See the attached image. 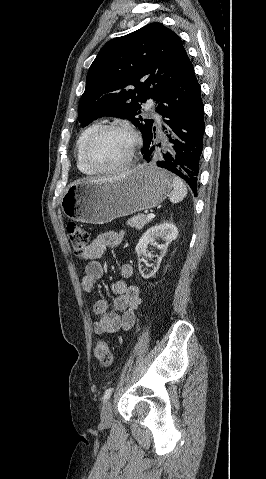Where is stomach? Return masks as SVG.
I'll use <instances>...</instances> for the list:
<instances>
[{"instance_id": "stomach-1", "label": "stomach", "mask_w": 266, "mask_h": 479, "mask_svg": "<svg viewBox=\"0 0 266 479\" xmlns=\"http://www.w3.org/2000/svg\"><path fill=\"white\" fill-rule=\"evenodd\" d=\"M172 183L169 172L154 165H139L116 180L70 185L61 198V208L77 222L104 224L156 207L169 195Z\"/></svg>"}]
</instances>
